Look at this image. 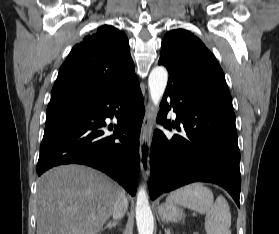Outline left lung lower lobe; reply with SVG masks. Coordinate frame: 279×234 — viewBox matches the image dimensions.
I'll return each mask as SVG.
<instances>
[{"mask_svg":"<svg viewBox=\"0 0 279 234\" xmlns=\"http://www.w3.org/2000/svg\"><path fill=\"white\" fill-rule=\"evenodd\" d=\"M166 66L169 80L157 121L171 129L166 115L176 113L172 127L185 135H153L151 150V199L183 185L204 181L225 188L240 206V152L235 114L229 90L188 77Z\"/></svg>","mask_w":279,"mask_h":234,"instance_id":"1","label":"left lung lower lobe"}]
</instances>
